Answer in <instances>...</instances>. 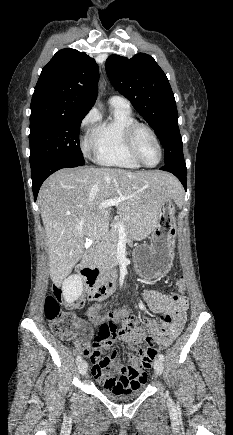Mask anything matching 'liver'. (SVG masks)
<instances>
[{
    "label": "liver",
    "mask_w": 233,
    "mask_h": 435,
    "mask_svg": "<svg viewBox=\"0 0 233 435\" xmlns=\"http://www.w3.org/2000/svg\"><path fill=\"white\" fill-rule=\"evenodd\" d=\"M179 181L167 172H130L114 168H64L41 186L38 204L48 246L49 273L61 282L81 259L86 237L102 239L108 231L106 200L123 198L117 210L130 237L143 240L157 226L162 205L178 202Z\"/></svg>",
    "instance_id": "obj_1"
}]
</instances>
